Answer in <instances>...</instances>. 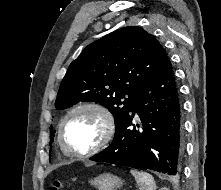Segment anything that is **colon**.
Here are the masks:
<instances>
[{
  "instance_id": "obj_1",
  "label": "colon",
  "mask_w": 221,
  "mask_h": 190,
  "mask_svg": "<svg viewBox=\"0 0 221 190\" xmlns=\"http://www.w3.org/2000/svg\"><path fill=\"white\" fill-rule=\"evenodd\" d=\"M48 190H64V186L60 181H53Z\"/></svg>"
}]
</instances>
